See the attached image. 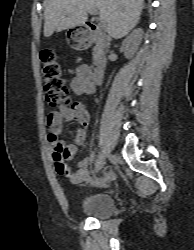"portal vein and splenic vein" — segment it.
Masks as SVG:
<instances>
[{"label":"portal vein and splenic vein","mask_w":194,"mask_h":250,"mask_svg":"<svg viewBox=\"0 0 194 250\" xmlns=\"http://www.w3.org/2000/svg\"><path fill=\"white\" fill-rule=\"evenodd\" d=\"M88 12H89V14L94 15V16H96L98 14L97 10H95V9L89 10ZM97 19L99 21L100 27H105L104 19L102 17H98Z\"/></svg>","instance_id":"1"}]
</instances>
